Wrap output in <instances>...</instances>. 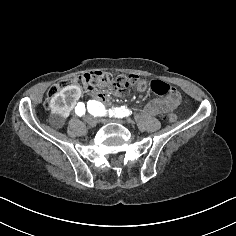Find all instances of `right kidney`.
Masks as SVG:
<instances>
[{
    "label": "right kidney",
    "instance_id": "ca27d5eb",
    "mask_svg": "<svg viewBox=\"0 0 236 236\" xmlns=\"http://www.w3.org/2000/svg\"><path fill=\"white\" fill-rule=\"evenodd\" d=\"M72 90V92H70ZM81 96V89L78 86H67L59 93H56L50 101L51 112L48 119L56 131H63L66 128L65 117L69 116L71 106Z\"/></svg>",
    "mask_w": 236,
    "mask_h": 236
}]
</instances>
